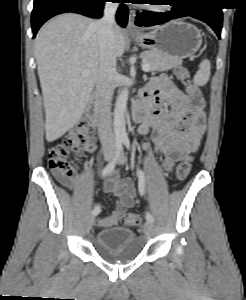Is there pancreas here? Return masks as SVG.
<instances>
[{
    "label": "pancreas",
    "instance_id": "pancreas-1",
    "mask_svg": "<svg viewBox=\"0 0 246 300\" xmlns=\"http://www.w3.org/2000/svg\"><path fill=\"white\" fill-rule=\"evenodd\" d=\"M143 64H149L151 72H163L181 65V61L169 60L156 51H144L141 53Z\"/></svg>",
    "mask_w": 246,
    "mask_h": 300
}]
</instances>
